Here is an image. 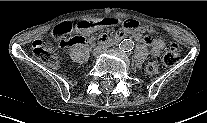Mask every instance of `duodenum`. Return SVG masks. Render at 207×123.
<instances>
[{"label": "duodenum", "instance_id": "1", "mask_svg": "<svg viewBox=\"0 0 207 123\" xmlns=\"http://www.w3.org/2000/svg\"><path fill=\"white\" fill-rule=\"evenodd\" d=\"M122 38L123 37H121V36H116V37L110 38V39H108L106 41L101 40L100 42L101 43H104V44H115V43L119 42ZM93 45H94V42L93 41H88L86 43V46L87 47H91Z\"/></svg>", "mask_w": 207, "mask_h": 123}]
</instances>
